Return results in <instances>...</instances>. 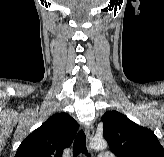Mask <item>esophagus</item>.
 Masks as SVG:
<instances>
[{"label":"esophagus","mask_w":164,"mask_h":157,"mask_svg":"<svg viewBox=\"0 0 164 157\" xmlns=\"http://www.w3.org/2000/svg\"><path fill=\"white\" fill-rule=\"evenodd\" d=\"M85 132H86V135H87V138L89 140L92 139L93 135H94V127L93 125H89L85 128Z\"/></svg>","instance_id":"1"}]
</instances>
